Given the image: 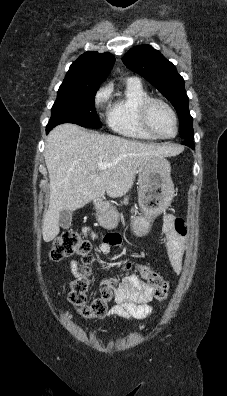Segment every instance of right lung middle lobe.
<instances>
[{
  "instance_id": "dd1d6c3e",
  "label": "right lung middle lobe",
  "mask_w": 227,
  "mask_h": 396,
  "mask_svg": "<svg viewBox=\"0 0 227 396\" xmlns=\"http://www.w3.org/2000/svg\"><path fill=\"white\" fill-rule=\"evenodd\" d=\"M99 84L63 82L51 110L48 127L74 123L87 128H101L94 99Z\"/></svg>"
}]
</instances>
